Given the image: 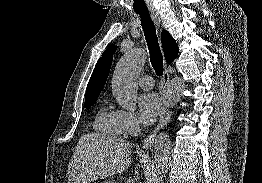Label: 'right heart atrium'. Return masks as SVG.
<instances>
[{
  "instance_id": "1",
  "label": "right heart atrium",
  "mask_w": 262,
  "mask_h": 183,
  "mask_svg": "<svg viewBox=\"0 0 262 183\" xmlns=\"http://www.w3.org/2000/svg\"><path fill=\"white\" fill-rule=\"evenodd\" d=\"M115 112L123 134L135 135L138 133L140 126L134 113L126 110H117Z\"/></svg>"
}]
</instances>
